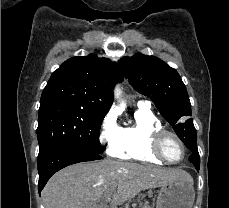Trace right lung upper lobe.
<instances>
[{
	"label": "right lung upper lobe",
	"instance_id": "right-lung-upper-lobe-1",
	"mask_svg": "<svg viewBox=\"0 0 229 208\" xmlns=\"http://www.w3.org/2000/svg\"><path fill=\"white\" fill-rule=\"evenodd\" d=\"M123 80L121 69L94 54L65 61L43 89L40 104L64 101L105 116L113 102V88Z\"/></svg>",
	"mask_w": 229,
	"mask_h": 208
}]
</instances>
